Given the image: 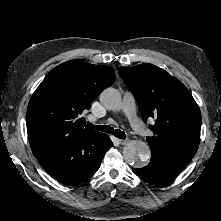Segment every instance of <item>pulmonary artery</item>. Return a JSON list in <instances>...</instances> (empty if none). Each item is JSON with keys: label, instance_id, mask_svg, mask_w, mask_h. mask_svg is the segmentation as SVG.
I'll list each match as a JSON object with an SVG mask.
<instances>
[{"label": "pulmonary artery", "instance_id": "e3ab8cb5", "mask_svg": "<svg viewBox=\"0 0 221 221\" xmlns=\"http://www.w3.org/2000/svg\"><path fill=\"white\" fill-rule=\"evenodd\" d=\"M122 110L127 115L130 125L133 130L139 135L145 136L148 133V130L137 117L136 107H135V98L130 92H125L122 103Z\"/></svg>", "mask_w": 221, "mask_h": 221}]
</instances>
